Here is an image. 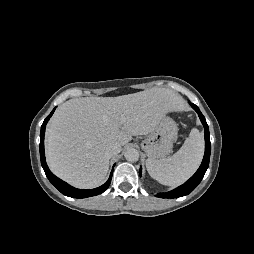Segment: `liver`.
<instances>
[{
	"label": "liver",
	"instance_id": "obj_1",
	"mask_svg": "<svg viewBox=\"0 0 254 254\" xmlns=\"http://www.w3.org/2000/svg\"><path fill=\"white\" fill-rule=\"evenodd\" d=\"M182 104L180 96L166 88L70 99L58 107L47 126V163L69 184L95 188L107 175L110 144L123 146L134 135L153 132L166 113Z\"/></svg>",
	"mask_w": 254,
	"mask_h": 254
}]
</instances>
